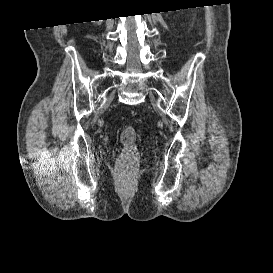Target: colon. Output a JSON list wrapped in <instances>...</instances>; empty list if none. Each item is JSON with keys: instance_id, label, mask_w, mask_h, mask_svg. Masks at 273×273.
Masks as SVG:
<instances>
[{"instance_id": "1", "label": "colon", "mask_w": 273, "mask_h": 273, "mask_svg": "<svg viewBox=\"0 0 273 273\" xmlns=\"http://www.w3.org/2000/svg\"><path fill=\"white\" fill-rule=\"evenodd\" d=\"M123 151L118 163V171L122 174L127 173L135 167L138 153L136 146V132L132 126H126L121 133Z\"/></svg>"}]
</instances>
